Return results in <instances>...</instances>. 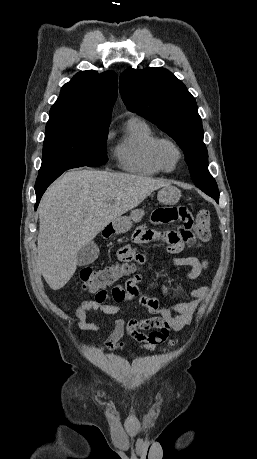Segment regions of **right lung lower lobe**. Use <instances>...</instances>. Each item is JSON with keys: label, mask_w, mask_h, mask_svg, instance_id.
I'll list each match as a JSON object with an SVG mask.
<instances>
[{"label": "right lung lower lobe", "mask_w": 257, "mask_h": 459, "mask_svg": "<svg viewBox=\"0 0 257 459\" xmlns=\"http://www.w3.org/2000/svg\"><path fill=\"white\" fill-rule=\"evenodd\" d=\"M71 169V167H63L52 172H39L38 178L35 184V191L37 197V203L35 208H37L39 201L47 189V187L58 178L64 171Z\"/></svg>", "instance_id": "obj_1"}]
</instances>
